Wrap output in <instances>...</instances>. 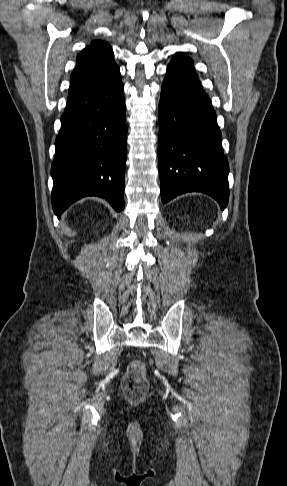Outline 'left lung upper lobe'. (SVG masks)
Instances as JSON below:
<instances>
[{
	"label": "left lung upper lobe",
	"instance_id": "left-lung-upper-lobe-1",
	"mask_svg": "<svg viewBox=\"0 0 287 486\" xmlns=\"http://www.w3.org/2000/svg\"><path fill=\"white\" fill-rule=\"evenodd\" d=\"M174 57L180 59V60H183L184 62L188 63L189 65L193 66V61L191 58H189L188 56H186L185 54H182V53H178L176 54Z\"/></svg>",
	"mask_w": 287,
	"mask_h": 486
}]
</instances>
